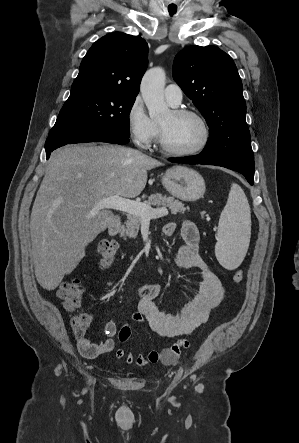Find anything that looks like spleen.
Returning a JSON list of instances; mask_svg holds the SVG:
<instances>
[{"label": "spleen", "instance_id": "spleen-1", "mask_svg": "<svg viewBox=\"0 0 299 443\" xmlns=\"http://www.w3.org/2000/svg\"><path fill=\"white\" fill-rule=\"evenodd\" d=\"M251 235V214L242 188L233 183L218 225L215 255L228 270L240 266L247 253Z\"/></svg>", "mask_w": 299, "mask_h": 443}]
</instances>
